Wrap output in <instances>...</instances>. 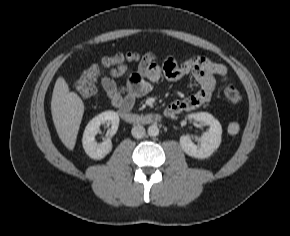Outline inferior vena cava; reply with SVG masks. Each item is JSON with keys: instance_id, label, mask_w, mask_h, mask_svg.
<instances>
[{"instance_id": "obj_1", "label": "inferior vena cava", "mask_w": 290, "mask_h": 236, "mask_svg": "<svg viewBox=\"0 0 290 236\" xmlns=\"http://www.w3.org/2000/svg\"><path fill=\"white\" fill-rule=\"evenodd\" d=\"M132 136L139 139L145 136V128L142 125H136L131 130Z\"/></svg>"}]
</instances>
